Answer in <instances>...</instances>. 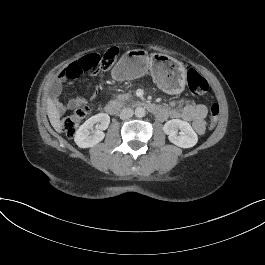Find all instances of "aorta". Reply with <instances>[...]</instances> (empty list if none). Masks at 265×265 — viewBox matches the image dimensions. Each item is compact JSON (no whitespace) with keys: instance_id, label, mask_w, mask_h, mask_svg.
I'll return each mask as SVG.
<instances>
[{"instance_id":"1","label":"aorta","mask_w":265,"mask_h":265,"mask_svg":"<svg viewBox=\"0 0 265 265\" xmlns=\"http://www.w3.org/2000/svg\"><path fill=\"white\" fill-rule=\"evenodd\" d=\"M145 113H146V111L143 107H137L135 109V116L138 118L144 117Z\"/></svg>"}]
</instances>
